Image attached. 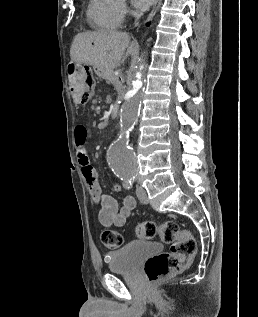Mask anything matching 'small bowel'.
I'll list each match as a JSON object with an SVG mask.
<instances>
[{
	"label": "small bowel",
	"instance_id": "1",
	"mask_svg": "<svg viewBox=\"0 0 258 317\" xmlns=\"http://www.w3.org/2000/svg\"><path fill=\"white\" fill-rule=\"evenodd\" d=\"M76 156L81 166L83 177L86 181L88 191L92 202L99 208V221L104 227H122L125 225L132 210L136 206V201L132 196H126L123 204L119 206L118 202L111 195L103 193L98 181L96 170L90 163L87 150L86 139L87 129L83 125H77L75 128ZM111 190L120 193L122 188L119 184H113Z\"/></svg>",
	"mask_w": 258,
	"mask_h": 317
}]
</instances>
